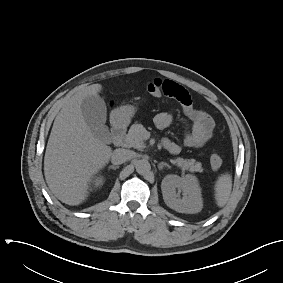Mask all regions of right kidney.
<instances>
[{
  "label": "right kidney",
  "instance_id": "obj_1",
  "mask_svg": "<svg viewBox=\"0 0 283 283\" xmlns=\"http://www.w3.org/2000/svg\"><path fill=\"white\" fill-rule=\"evenodd\" d=\"M94 182H95L94 185H95L96 187L101 186V185H103V178L98 177V178L95 179Z\"/></svg>",
  "mask_w": 283,
  "mask_h": 283
}]
</instances>
